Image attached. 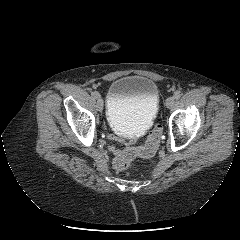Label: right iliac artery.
Listing matches in <instances>:
<instances>
[{"label":"right iliac artery","mask_w":240,"mask_h":240,"mask_svg":"<svg viewBox=\"0 0 240 240\" xmlns=\"http://www.w3.org/2000/svg\"><path fill=\"white\" fill-rule=\"evenodd\" d=\"M92 97L93 98H98L99 97V93L96 92V91L92 92Z\"/></svg>","instance_id":"82829eb1"}]
</instances>
